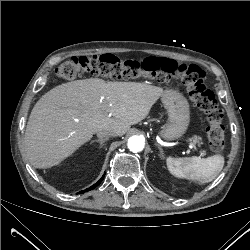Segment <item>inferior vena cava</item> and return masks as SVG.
<instances>
[{
  "mask_svg": "<svg viewBox=\"0 0 250 250\" xmlns=\"http://www.w3.org/2000/svg\"><path fill=\"white\" fill-rule=\"evenodd\" d=\"M97 136L99 138H108L117 136V133L114 130H99L97 131Z\"/></svg>",
  "mask_w": 250,
  "mask_h": 250,
  "instance_id": "602c4592",
  "label": "inferior vena cava"
}]
</instances>
